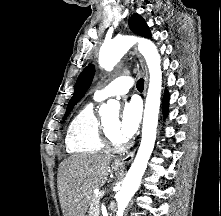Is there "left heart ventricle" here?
<instances>
[{
  "label": "left heart ventricle",
  "mask_w": 221,
  "mask_h": 216,
  "mask_svg": "<svg viewBox=\"0 0 221 216\" xmlns=\"http://www.w3.org/2000/svg\"><path fill=\"white\" fill-rule=\"evenodd\" d=\"M105 124L115 139L122 140L117 132V124H118V116L117 115H111L108 118H106Z\"/></svg>",
  "instance_id": "b2bd125f"
}]
</instances>
